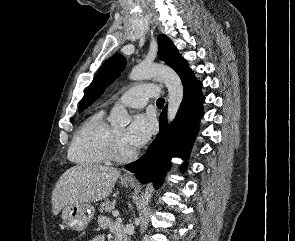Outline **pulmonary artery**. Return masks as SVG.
I'll return each mask as SVG.
<instances>
[{
	"label": "pulmonary artery",
	"instance_id": "e3ab8cb5",
	"mask_svg": "<svg viewBox=\"0 0 295 241\" xmlns=\"http://www.w3.org/2000/svg\"><path fill=\"white\" fill-rule=\"evenodd\" d=\"M158 96V88L154 84H139L126 90L117 100L118 103L133 108L145 106L149 99Z\"/></svg>",
	"mask_w": 295,
	"mask_h": 241
}]
</instances>
